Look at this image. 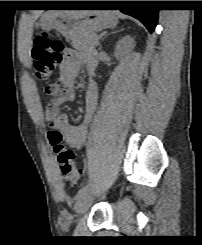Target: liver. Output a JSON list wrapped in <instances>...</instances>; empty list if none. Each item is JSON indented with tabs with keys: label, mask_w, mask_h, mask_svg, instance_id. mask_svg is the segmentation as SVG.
Listing matches in <instances>:
<instances>
[{
	"label": "liver",
	"mask_w": 202,
	"mask_h": 245,
	"mask_svg": "<svg viewBox=\"0 0 202 245\" xmlns=\"http://www.w3.org/2000/svg\"><path fill=\"white\" fill-rule=\"evenodd\" d=\"M41 14H42V11L39 10V11L36 13V18H38Z\"/></svg>",
	"instance_id": "6515ba94"
}]
</instances>
